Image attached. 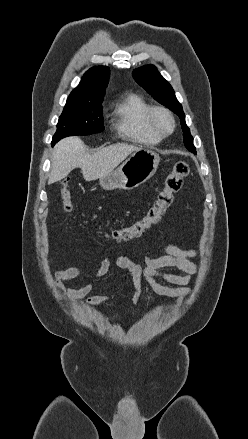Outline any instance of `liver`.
I'll return each mask as SVG.
<instances>
[{
    "mask_svg": "<svg viewBox=\"0 0 248 439\" xmlns=\"http://www.w3.org/2000/svg\"><path fill=\"white\" fill-rule=\"evenodd\" d=\"M139 149L135 145L117 143L89 154L79 137L65 138L54 147L48 184L62 180L77 167L81 168L86 181L100 179Z\"/></svg>",
    "mask_w": 248,
    "mask_h": 439,
    "instance_id": "liver-1",
    "label": "liver"
}]
</instances>
